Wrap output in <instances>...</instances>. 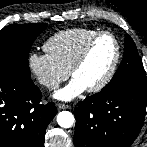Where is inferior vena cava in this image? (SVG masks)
I'll return each mask as SVG.
<instances>
[{"mask_svg": "<svg viewBox=\"0 0 147 147\" xmlns=\"http://www.w3.org/2000/svg\"><path fill=\"white\" fill-rule=\"evenodd\" d=\"M49 87H51V88H56V85L55 84H49Z\"/></svg>", "mask_w": 147, "mask_h": 147, "instance_id": "obj_1", "label": "inferior vena cava"}]
</instances>
